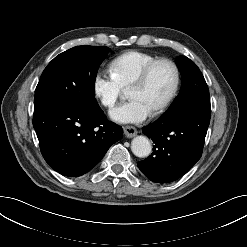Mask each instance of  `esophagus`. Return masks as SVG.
<instances>
[{"mask_svg": "<svg viewBox=\"0 0 247 247\" xmlns=\"http://www.w3.org/2000/svg\"><path fill=\"white\" fill-rule=\"evenodd\" d=\"M123 130H124V134L127 138H132V137L136 136V134H137V130L133 126H125L123 128Z\"/></svg>", "mask_w": 247, "mask_h": 247, "instance_id": "34e87169", "label": "esophagus"}]
</instances>
